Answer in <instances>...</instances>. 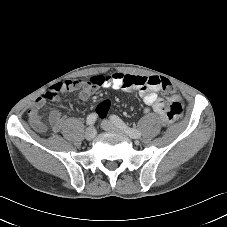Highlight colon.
<instances>
[{"instance_id":"1","label":"colon","mask_w":227,"mask_h":227,"mask_svg":"<svg viewBox=\"0 0 227 227\" xmlns=\"http://www.w3.org/2000/svg\"><path fill=\"white\" fill-rule=\"evenodd\" d=\"M87 83L99 84L100 79L93 77ZM149 83L153 84V85H159L161 87V89L168 94L174 93V91H175L174 86L165 78H152L149 80ZM109 107H110L109 101L101 102L98 106L99 116H104L107 113Z\"/></svg>"}]
</instances>
